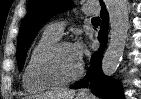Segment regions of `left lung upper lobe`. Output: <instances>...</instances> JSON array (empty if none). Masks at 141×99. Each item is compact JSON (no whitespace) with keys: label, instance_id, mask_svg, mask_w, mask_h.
I'll return each mask as SVG.
<instances>
[{"label":"left lung upper lobe","instance_id":"5c2ea615","mask_svg":"<svg viewBox=\"0 0 141 99\" xmlns=\"http://www.w3.org/2000/svg\"><path fill=\"white\" fill-rule=\"evenodd\" d=\"M68 5L69 0H29L28 14L22 22L18 36L17 60L19 70L23 68L28 48L39 29L57 12L66 10Z\"/></svg>","mask_w":141,"mask_h":99}]
</instances>
